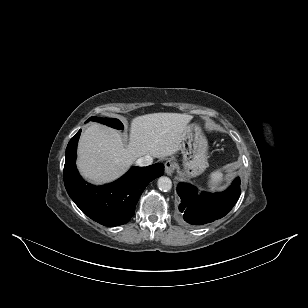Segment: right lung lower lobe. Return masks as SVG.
Wrapping results in <instances>:
<instances>
[{
	"label": "right lung lower lobe",
	"instance_id": "obj_1",
	"mask_svg": "<svg viewBox=\"0 0 308 308\" xmlns=\"http://www.w3.org/2000/svg\"><path fill=\"white\" fill-rule=\"evenodd\" d=\"M81 130L71 138L66 148L64 184L75 204L92 220L105 226L123 225L134 215L136 203L146 185L164 173V165L133 167L117 181L93 186L79 175L76 149Z\"/></svg>",
	"mask_w": 308,
	"mask_h": 308
}]
</instances>
